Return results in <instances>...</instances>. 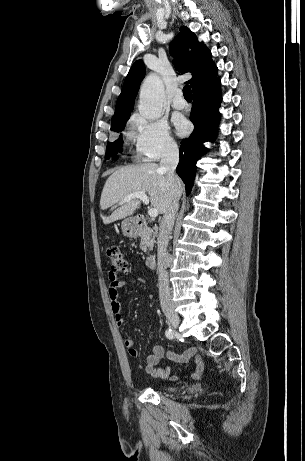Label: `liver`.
<instances>
[{
    "mask_svg": "<svg viewBox=\"0 0 305 461\" xmlns=\"http://www.w3.org/2000/svg\"><path fill=\"white\" fill-rule=\"evenodd\" d=\"M134 192H145L149 195L151 205L163 214L173 193H182L181 180L176 176L173 185L167 181L166 175L156 163L132 164L119 168L107 179L102 190L100 207L106 210L114 205L120 207L110 216L101 215L104 224L132 216L140 208L139 199L124 202L125 196Z\"/></svg>",
    "mask_w": 305,
    "mask_h": 461,
    "instance_id": "1",
    "label": "liver"
}]
</instances>
